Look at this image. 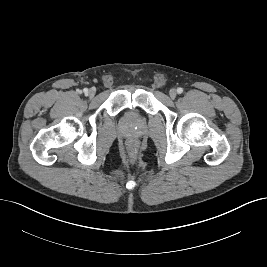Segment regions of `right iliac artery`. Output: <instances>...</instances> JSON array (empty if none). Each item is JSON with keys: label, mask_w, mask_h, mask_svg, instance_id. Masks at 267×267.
I'll return each mask as SVG.
<instances>
[{"label": "right iliac artery", "mask_w": 267, "mask_h": 267, "mask_svg": "<svg viewBox=\"0 0 267 267\" xmlns=\"http://www.w3.org/2000/svg\"><path fill=\"white\" fill-rule=\"evenodd\" d=\"M83 91H84L85 94L88 93V89L87 88H85Z\"/></svg>", "instance_id": "1"}]
</instances>
